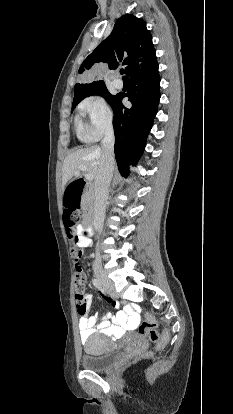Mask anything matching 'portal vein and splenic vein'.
Segmentation results:
<instances>
[{"label": "portal vein and splenic vein", "instance_id": "1", "mask_svg": "<svg viewBox=\"0 0 233 414\" xmlns=\"http://www.w3.org/2000/svg\"><path fill=\"white\" fill-rule=\"evenodd\" d=\"M80 170L85 172L87 169H86V167H85V166H83V167H81V168H80ZM85 178H86L87 180H93V179H94V176H93L92 174H88V173H87V174L85 175Z\"/></svg>", "mask_w": 233, "mask_h": 414}]
</instances>
